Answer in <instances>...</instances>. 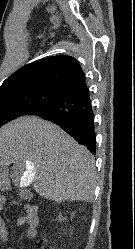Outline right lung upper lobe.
I'll return each mask as SVG.
<instances>
[{
  "mask_svg": "<svg viewBox=\"0 0 135 249\" xmlns=\"http://www.w3.org/2000/svg\"><path fill=\"white\" fill-rule=\"evenodd\" d=\"M86 85L79 62L71 56L57 55L25 65L10 75L0 87V95L31 91H64Z\"/></svg>",
  "mask_w": 135,
  "mask_h": 249,
  "instance_id": "1",
  "label": "right lung upper lobe"
}]
</instances>
